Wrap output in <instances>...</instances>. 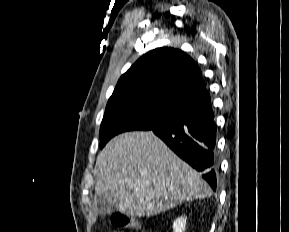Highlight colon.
<instances>
[{
  "label": "colon",
  "instance_id": "obj_1",
  "mask_svg": "<svg viewBox=\"0 0 289 232\" xmlns=\"http://www.w3.org/2000/svg\"><path fill=\"white\" fill-rule=\"evenodd\" d=\"M112 224L119 229H132L140 231V226L136 220L127 214L116 212L111 217Z\"/></svg>",
  "mask_w": 289,
  "mask_h": 232
}]
</instances>
